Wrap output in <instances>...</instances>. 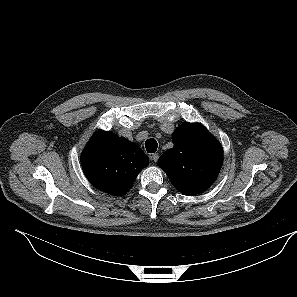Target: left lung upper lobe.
<instances>
[{
    "label": "left lung upper lobe",
    "instance_id": "left-lung-upper-lobe-1",
    "mask_svg": "<svg viewBox=\"0 0 297 297\" xmlns=\"http://www.w3.org/2000/svg\"><path fill=\"white\" fill-rule=\"evenodd\" d=\"M173 148L159 158L174 187L183 194H198L216 180L223 163L222 147L199 123H186L172 135Z\"/></svg>",
    "mask_w": 297,
    "mask_h": 297
}]
</instances>
